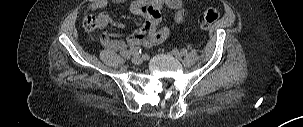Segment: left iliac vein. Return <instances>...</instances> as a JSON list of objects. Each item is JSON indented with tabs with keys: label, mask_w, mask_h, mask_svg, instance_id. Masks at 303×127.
Returning <instances> with one entry per match:
<instances>
[{
	"label": "left iliac vein",
	"mask_w": 303,
	"mask_h": 127,
	"mask_svg": "<svg viewBox=\"0 0 303 127\" xmlns=\"http://www.w3.org/2000/svg\"><path fill=\"white\" fill-rule=\"evenodd\" d=\"M171 54L177 59H181L183 56L177 49H174Z\"/></svg>",
	"instance_id": "4c4485c4"
}]
</instances>
